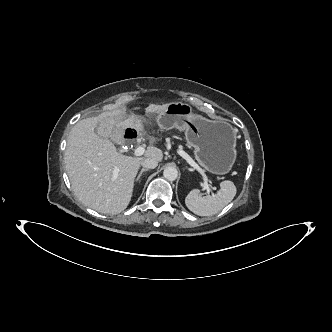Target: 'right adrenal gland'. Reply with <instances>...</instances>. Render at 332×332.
Segmentation results:
<instances>
[{
    "label": "right adrenal gland",
    "mask_w": 332,
    "mask_h": 332,
    "mask_svg": "<svg viewBox=\"0 0 332 332\" xmlns=\"http://www.w3.org/2000/svg\"><path fill=\"white\" fill-rule=\"evenodd\" d=\"M146 171H148V169L142 168L140 173L138 174V176L136 178V181H138L140 179V177L142 176L143 172H146Z\"/></svg>",
    "instance_id": "obj_1"
}]
</instances>
